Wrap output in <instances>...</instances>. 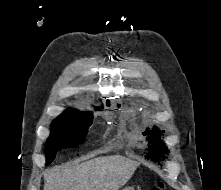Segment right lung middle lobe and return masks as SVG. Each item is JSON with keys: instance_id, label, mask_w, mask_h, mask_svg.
Here are the masks:
<instances>
[{"instance_id": "dd1d6c3e", "label": "right lung middle lobe", "mask_w": 221, "mask_h": 190, "mask_svg": "<svg viewBox=\"0 0 221 190\" xmlns=\"http://www.w3.org/2000/svg\"><path fill=\"white\" fill-rule=\"evenodd\" d=\"M92 120V113L74 109L64 111L58 116L51 124V134L46 141V164L54 160L59 150L83 143Z\"/></svg>"}]
</instances>
